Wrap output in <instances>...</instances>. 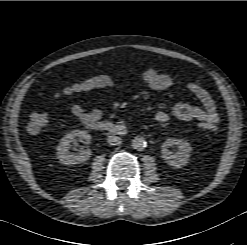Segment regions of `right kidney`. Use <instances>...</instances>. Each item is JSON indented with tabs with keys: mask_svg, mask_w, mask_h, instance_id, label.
<instances>
[{
	"mask_svg": "<svg viewBox=\"0 0 247 245\" xmlns=\"http://www.w3.org/2000/svg\"><path fill=\"white\" fill-rule=\"evenodd\" d=\"M77 139L81 142L86 141V143H89L91 137L85 130H73L67 133L60 140V143L57 146V158L60 163L64 165H75L83 163L90 158L91 150L89 148L78 153H71L69 151L70 143L76 141Z\"/></svg>",
	"mask_w": 247,
	"mask_h": 245,
	"instance_id": "ca27d5eb",
	"label": "right kidney"
}]
</instances>
